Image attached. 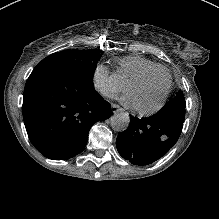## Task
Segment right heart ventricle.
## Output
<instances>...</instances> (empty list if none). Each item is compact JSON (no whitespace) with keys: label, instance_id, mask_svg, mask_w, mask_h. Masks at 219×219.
<instances>
[{"label":"right heart ventricle","instance_id":"e07e8e85","mask_svg":"<svg viewBox=\"0 0 219 219\" xmlns=\"http://www.w3.org/2000/svg\"><path fill=\"white\" fill-rule=\"evenodd\" d=\"M160 64L141 55L129 56L119 61L117 76L120 82L129 86L140 75L158 68Z\"/></svg>","mask_w":219,"mask_h":219}]
</instances>
